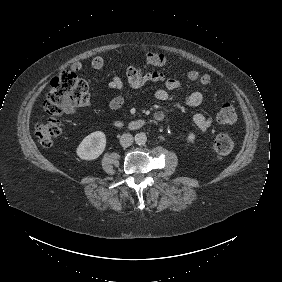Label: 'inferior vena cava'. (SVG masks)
<instances>
[{
  "mask_svg": "<svg viewBox=\"0 0 282 282\" xmlns=\"http://www.w3.org/2000/svg\"><path fill=\"white\" fill-rule=\"evenodd\" d=\"M119 142L123 147H129L133 143V136L129 133H124L121 135Z\"/></svg>",
  "mask_w": 282,
  "mask_h": 282,
  "instance_id": "obj_1",
  "label": "inferior vena cava"
}]
</instances>
